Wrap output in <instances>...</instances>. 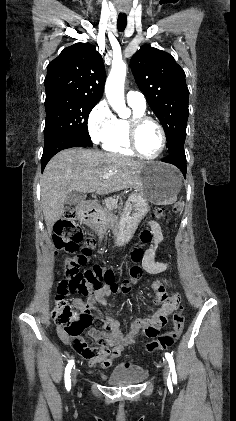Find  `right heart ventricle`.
I'll return each instance as SVG.
<instances>
[{"instance_id":"obj_1","label":"right heart ventricle","mask_w":236,"mask_h":421,"mask_svg":"<svg viewBox=\"0 0 236 421\" xmlns=\"http://www.w3.org/2000/svg\"><path fill=\"white\" fill-rule=\"evenodd\" d=\"M133 114H143L144 109L138 108L136 106L130 105ZM127 118H115L113 125L102 142V148L112 154L131 157L134 156L126 137V122Z\"/></svg>"}]
</instances>
